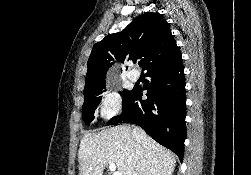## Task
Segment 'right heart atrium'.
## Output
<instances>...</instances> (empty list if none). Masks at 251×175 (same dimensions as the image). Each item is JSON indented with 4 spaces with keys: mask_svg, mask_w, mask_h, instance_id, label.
<instances>
[{
    "mask_svg": "<svg viewBox=\"0 0 251 175\" xmlns=\"http://www.w3.org/2000/svg\"><path fill=\"white\" fill-rule=\"evenodd\" d=\"M112 83V78L108 79ZM121 97L116 90L108 89L98 103V114L102 119L108 120L117 115L121 110Z\"/></svg>",
    "mask_w": 251,
    "mask_h": 175,
    "instance_id": "d8ad5b80",
    "label": "right heart atrium"
}]
</instances>
